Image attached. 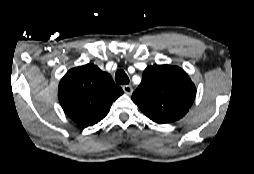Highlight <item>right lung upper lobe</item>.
Listing matches in <instances>:
<instances>
[{
  "mask_svg": "<svg viewBox=\"0 0 254 174\" xmlns=\"http://www.w3.org/2000/svg\"><path fill=\"white\" fill-rule=\"evenodd\" d=\"M123 94L112 77L94 64L69 70L58 89L60 104L68 117L83 127L98 123Z\"/></svg>",
  "mask_w": 254,
  "mask_h": 174,
  "instance_id": "obj_1",
  "label": "right lung upper lobe"
}]
</instances>
